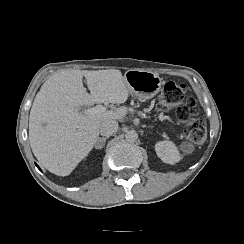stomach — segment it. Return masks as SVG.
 Instances as JSON below:
<instances>
[{"mask_svg":"<svg viewBox=\"0 0 244 244\" xmlns=\"http://www.w3.org/2000/svg\"><path fill=\"white\" fill-rule=\"evenodd\" d=\"M123 77L129 92L141 99L153 98L162 86L161 77L151 71L130 69Z\"/></svg>","mask_w":244,"mask_h":244,"instance_id":"0dacf381","label":"stomach"}]
</instances>
